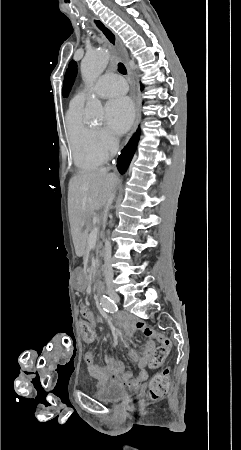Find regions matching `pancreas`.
Masks as SVG:
<instances>
[{
    "label": "pancreas",
    "instance_id": "cf45deb5",
    "mask_svg": "<svg viewBox=\"0 0 241 450\" xmlns=\"http://www.w3.org/2000/svg\"><path fill=\"white\" fill-rule=\"evenodd\" d=\"M85 232H86V234H87V230H85ZM90 232H92V230H90ZM87 238H88V234H87V236H86V240H87Z\"/></svg>",
    "mask_w": 241,
    "mask_h": 450
}]
</instances>
